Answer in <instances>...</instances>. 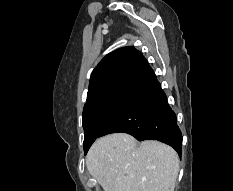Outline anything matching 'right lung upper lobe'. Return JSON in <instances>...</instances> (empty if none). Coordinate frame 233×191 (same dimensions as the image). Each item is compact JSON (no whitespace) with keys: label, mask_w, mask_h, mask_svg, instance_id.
Listing matches in <instances>:
<instances>
[{"label":"right lung upper lobe","mask_w":233,"mask_h":191,"mask_svg":"<svg viewBox=\"0 0 233 191\" xmlns=\"http://www.w3.org/2000/svg\"><path fill=\"white\" fill-rule=\"evenodd\" d=\"M147 66L143 55L130 46L107 54L91 73L85 106L106 96L128 91Z\"/></svg>","instance_id":"obj_1"}]
</instances>
